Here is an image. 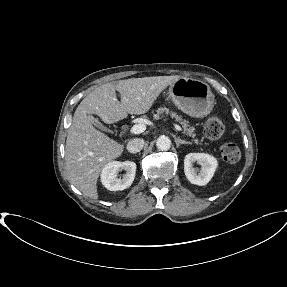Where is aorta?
Listing matches in <instances>:
<instances>
[{
  "label": "aorta",
  "mask_w": 287,
  "mask_h": 287,
  "mask_svg": "<svg viewBox=\"0 0 287 287\" xmlns=\"http://www.w3.org/2000/svg\"><path fill=\"white\" fill-rule=\"evenodd\" d=\"M156 147L161 151H167L171 147V140L167 136H160L156 140Z\"/></svg>",
  "instance_id": "obj_1"
}]
</instances>
